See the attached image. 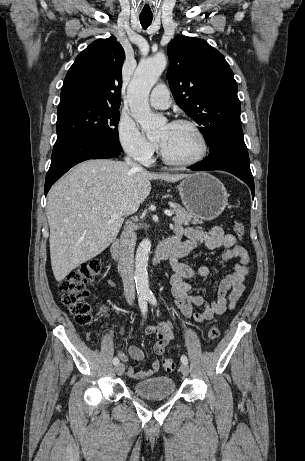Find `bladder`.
I'll return each mask as SVG.
<instances>
[{"label": "bladder", "instance_id": "1", "mask_svg": "<svg viewBox=\"0 0 305 461\" xmlns=\"http://www.w3.org/2000/svg\"><path fill=\"white\" fill-rule=\"evenodd\" d=\"M132 389L145 398H167L175 393V383L170 376H154L135 382Z\"/></svg>", "mask_w": 305, "mask_h": 461}]
</instances>
